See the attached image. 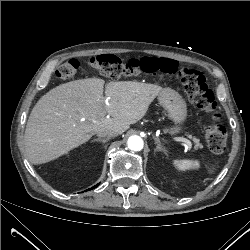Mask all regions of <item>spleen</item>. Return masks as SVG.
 Wrapping results in <instances>:
<instances>
[{
  "mask_svg": "<svg viewBox=\"0 0 250 250\" xmlns=\"http://www.w3.org/2000/svg\"><path fill=\"white\" fill-rule=\"evenodd\" d=\"M173 165L179 170V171H186L191 168H198L199 162L198 161H192L187 159H180V160H174Z\"/></svg>",
  "mask_w": 250,
  "mask_h": 250,
  "instance_id": "3e777b00",
  "label": "spleen"
}]
</instances>
